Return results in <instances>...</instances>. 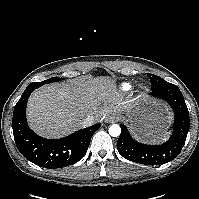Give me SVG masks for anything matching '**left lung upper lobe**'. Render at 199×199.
Returning <instances> with one entry per match:
<instances>
[{"label": "left lung upper lobe", "mask_w": 199, "mask_h": 199, "mask_svg": "<svg viewBox=\"0 0 199 199\" xmlns=\"http://www.w3.org/2000/svg\"><path fill=\"white\" fill-rule=\"evenodd\" d=\"M148 76L151 80L152 91L168 89L169 87L176 86L174 84H171V83L165 81L164 79H162L161 77H158L156 75L148 73Z\"/></svg>", "instance_id": "left-lung-upper-lobe-1"}]
</instances>
